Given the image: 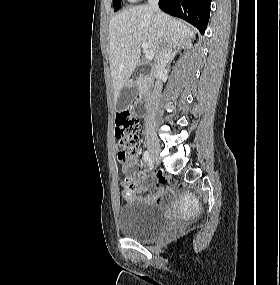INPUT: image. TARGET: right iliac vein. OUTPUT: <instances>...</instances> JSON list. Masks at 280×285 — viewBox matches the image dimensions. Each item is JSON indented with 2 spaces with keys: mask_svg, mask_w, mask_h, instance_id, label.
Here are the masks:
<instances>
[{
  "mask_svg": "<svg viewBox=\"0 0 280 285\" xmlns=\"http://www.w3.org/2000/svg\"><path fill=\"white\" fill-rule=\"evenodd\" d=\"M146 139L151 160L152 162L157 163L159 160V151H160L159 142L151 133L147 134Z\"/></svg>",
  "mask_w": 280,
  "mask_h": 285,
  "instance_id": "obj_1",
  "label": "right iliac vein"
}]
</instances>
